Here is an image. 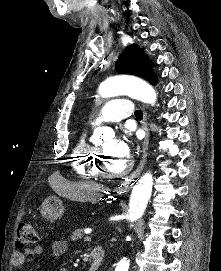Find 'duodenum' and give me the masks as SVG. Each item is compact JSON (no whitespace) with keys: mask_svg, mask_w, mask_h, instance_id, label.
I'll return each mask as SVG.
<instances>
[{"mask_svg":"<svg viewBox=\"0 0 221 271\" xmlns=\"http://www.w3.org/2000/svg\"><path fill=\"white\" fill-rule=\"evenodd\" d=\"M104 250L101 248H94L90 253V268L89 271H98L104 260Z\"/></svg>","mask_w":221,"mask_h":271,"instance_id":"obj_1","label":"duodenum"}]
</instances>
